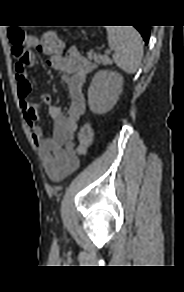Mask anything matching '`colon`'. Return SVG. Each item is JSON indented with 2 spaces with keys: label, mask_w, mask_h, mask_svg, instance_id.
Masks as SVG:
<instances>
[{
  "label": "colon",
  "mask_w": 184,
  "mask_h": 292,
  "mask_svg": "<svg viewBox=\"0 0 184 292\" xmlns=\"http://www.w3.org/2000/svg\"><path fill=\"white\" fill-rule=\"evenodd\" d=\"M9 40L12 44V52L14 57L20 61H26L28 58L29 40L27 33L21 28H11L8 32ZM39 51L47 56H53L60 53L63 44L58 36L52 31H46L41 37L38 47ZM93 128L86 123L81 126L78 132V146L76 153L78 155L86 154L88 148L93 141Z\"/></svg>",
  "instance_id": "obj_1"
}]
</instances>
